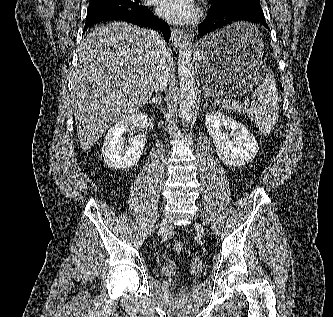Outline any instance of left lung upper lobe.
I'll list each match as a JSON object with an SVG mask.
<instances>
[{"label":"left lung upper lobe","instance_id":"left-lung-upper-lobe-1","mask_svg":"<svg viewBox=\"0 0 333 317\" xmlns=\"http://www.w3.org/2000/svg\"><path fill=\"white\" fill-rule=\"evenodd\" d=\"M211 4L239 5V4H255L259 0H210Z\"/></svg>","mask_w":333,"mask_h":317}]
</instances>
